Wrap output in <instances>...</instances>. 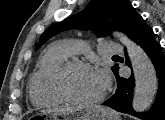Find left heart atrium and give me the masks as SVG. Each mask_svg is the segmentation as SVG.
I'll return each instance as SVG.
<instances>
[{"instance_id":"left-heart-atrium-1","label":"left heart atrium","mask_w":165,"mask_h":120,"mask_svg":"<svg viewBox=\"0 0 165 120\" xmlns=\"http://www.w3.org/2000/svg\"><path fill=\"white\" fill-rule=\"evenodd\" d=\"M95 74H96L100 84L102 85V87L105 88L109 82L107 73L105 71H96Z\"/></svg>"}]
</instances>
